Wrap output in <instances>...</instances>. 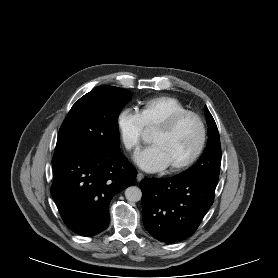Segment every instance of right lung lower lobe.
<instances>
[{"instance_id":"obj_1","label":"right lung lower lobe","mask_w":278,"mask_h":278,"mask_svg":"<svg viewBox=\"0 0 278 278\" xmlns=\"http://www.w3.org/2000/svg\"><path fill=\"white\" fill-rule=\"evenodd\" d=\"M52 166L51 195L66 226L81 236L107 228L111 199L133 185L137 175L119 148L55 157Z\"/></svg>"}]
</instances>
